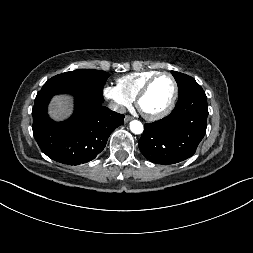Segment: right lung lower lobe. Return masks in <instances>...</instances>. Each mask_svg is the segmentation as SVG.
Wrapping results in <instances>:
<instances>
[{"instance_id": "1", "label": "right lung lower lobe", "mask_w": 253, "mask_h": 253, "mask_svg": "<svg viewBox=\"0 0 253 253\" xmlns=\"http://www.w3.org/2000/svg\"><path fill=\"white\" fill-rule=\"evenodd\" d=\"M65 93L41 89L32 110L33 134L42 152L51 159L69 165L93 160L106 146L111 132L124 124V115L102 105L103 101L81 94L75 97L73 115L64 122H54L47 106L55 94Z\"/></svg>"}]
</instances>
